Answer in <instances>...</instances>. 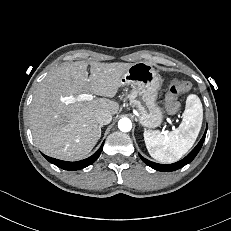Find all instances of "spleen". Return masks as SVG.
I'll return each mask as SVG.
<instances>
[{"label":"spleen","mask_w":231,"mask_h":231,"mask_svg":"<svg viewBox=\"0 0 231 231\" xmlns=\"http://www.w3.org/2000/svg\"><path fill=\"white\" fill-rule=\"evenodd\" d=\"M202 119L201 101L197 95L190 94L186 100L182 122L177 129L165 134L144 131V141L150 156L161 163L178 161L196 141Z\"/></svg>","instance_id":"obj_1"}]
</instances>
